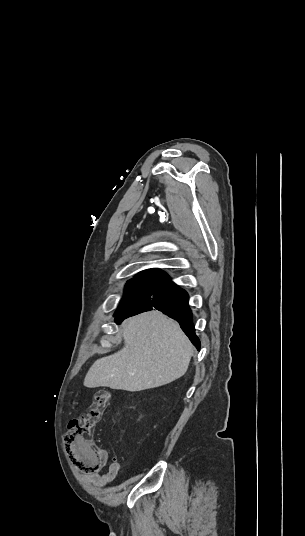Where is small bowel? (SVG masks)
I'll return each mask as SVG.
<instances>
[{
  "mask_svg": "<svg viewBox=\"0 0 305 536\" xmlns=\"http://www.w3.org/2000/svg\"><path fill=\"white\" fill-rule=\"evenodd\" d=\"M120 470H121L120 463L114 460L109 465L107 472L102 473V474H93V475L86 474L83 476V479L85 481L91 482L95 486L103 487V486L110 484L116 478V476L120 473Z\"/></svg>",
  "mask_w": 305,
  "mask_h": 536,
  "instance_id": "c3829d8e",
  "label": "small bowel"
}]
</instances>
